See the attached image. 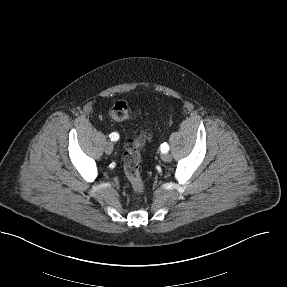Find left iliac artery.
<instances>
[{"mask_svg": "<svg viewBox=\"0 0 287 287\" xmlns=\"http://www.w3.org/2000/svg\"><path fill=\"white\" fill-rule=\"evenodd\" d=\"M160 150L162 153H167L169 151V145L167 143L161 144Z\"/></svg>", "mask_w": 287, "mask_h": 287, "instance_id": "44dca946", "label": "left iliac artery"}]
</instances>
